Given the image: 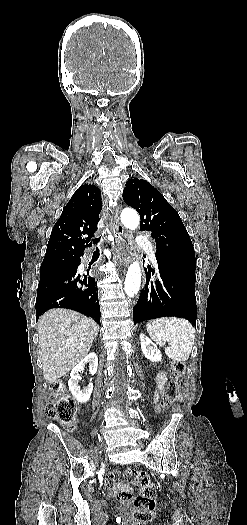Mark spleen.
<instances>
[{
    "label": "spleen",
    "mask_w": 247,
    "mask_h": 525,
    "mask_svg": "<svg viewBox=\"0 0 247 525\" xmlns=\"http://www.w3.org/2000/svg\"><path fill=\"white\" fill-rule=\"evenodd\" d=\"M147 331L159 347H164L168 359L177 363L188 361L195 341V329L189 321L177 317L152 319L147 325ZM166 343H169V347H165Z\"/></svg>",
    "instance_id": "3e777b00"
}]
</instances>
